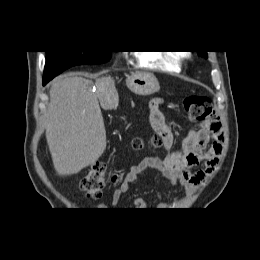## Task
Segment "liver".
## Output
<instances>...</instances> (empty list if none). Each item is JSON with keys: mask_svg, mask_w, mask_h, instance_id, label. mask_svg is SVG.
Segmentation results:
<instances>
[{"mask_svg": "<svg viewBox=\"0 0 260 260\" xmlns=\"http://www.w3.org/2000/svg\"><path fill=\"white\" fill-rule=\"evenodd\" d=\"M143 72H137V74ZM61 76L50 88L46 140L58 175L77 174L94 164L106 149V130L99 101L117 98L114 81Z\"/></svg>", "mask_w": 260, "mask_h": 260, "instance_id": "1", "label": "liver"}]
</instances>
